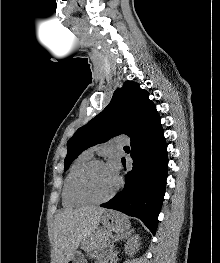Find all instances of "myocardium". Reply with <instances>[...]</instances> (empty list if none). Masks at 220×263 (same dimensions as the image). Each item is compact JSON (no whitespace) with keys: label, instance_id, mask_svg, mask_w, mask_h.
<instances>
[{"label":"myocardium","instance_id":"myocardium-1","mask_svg":"<svg viewBox=\"0 0 220 263\" xmlns=\"http://www.w3.org/2000/svg\"><path fill=\"white\" fill-rule=\"evenodd\" d=\"M97 165H106V164L102 160H97V159L90 160L84 166H82L77 171L75 176L73 177L72 184H71V194L76 201L84 203V204H101L113 198L117 194V192L120 190L122 186V179L120 177H117V184L115 188L109 194H107L106 196L102 198H91V197L84 195L80 191L79 186H80V182L82 178L89 170H91L93 167Z\"/></svg>","mask_w":220,"mask_h":263}]
</instances>
